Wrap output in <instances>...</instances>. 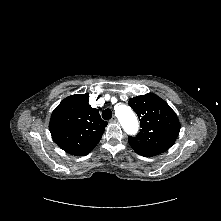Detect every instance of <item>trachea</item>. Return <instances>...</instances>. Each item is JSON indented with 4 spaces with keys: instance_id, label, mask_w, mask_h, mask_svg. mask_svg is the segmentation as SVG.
Wrapping results in <instances>:
<instances>
[{
    "instance_id": "1",
    "label": "trachea",
    "mask_w": 221,
    "mask_h": 221,
    "mask_svg": "<svg viewBox=\"0 0 221 221\" xmlns=\"http://www.w3.org/2000/svg\"><path fill=\"white\" fill-rule=\"evenodd\" d=\"M102 117L104 120H109L112 117V111L110 109H105L102 112Z\"/></svg>"
}]
</instances>
